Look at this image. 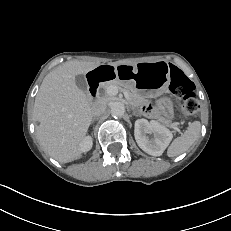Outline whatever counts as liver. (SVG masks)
<instances>
[{"label": "liver", "mask_w": 231, "mask_h": 231, "mask_svg": "<svg viewBox=\"0 0 231 231\" xmlns=\"http://www.w3.org/2000/svg\"><path fill=\"white\" fill-rule=\"evenodd\" d=\"M130 64L111 63L114 67ZM96 62L69 61L51 71L35 98L33 117L39 122L36 137L46 153L67 163L80 158L81 143L92 121V105L77 87L75 77L97 68Z\"/></svg>", "instance_id": "liver-1"}]
</instances>
